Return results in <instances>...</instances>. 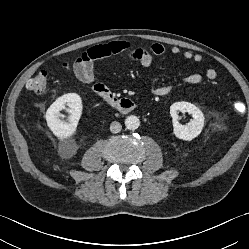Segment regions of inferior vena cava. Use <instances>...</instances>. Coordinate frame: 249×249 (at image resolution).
Masks as SVG:
<instances>
[{
    "label": "inferior vena cava",
    "mask_w": 249,
    "mask_h": 249,
    "mask_svg": "<svg viewBox=\"0 0 249 249\" xmlns=\"http://www.w3.org/2000/svg\"><path fill=\"white\" fill-rule=\"evenodd\" d=\"M121 129H122V125L117 121H114L110 124V131L112 133H118L121 131Z\"/></svg>",
    "instance_id": "inferior-vena-cava-1"
}]
</instances>
